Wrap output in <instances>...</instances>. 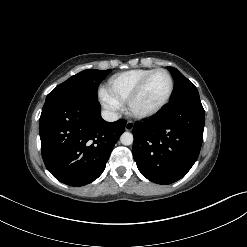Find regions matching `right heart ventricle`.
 I'll return each instance as SVG.
<instances>
[{
  "label": "right heart ventricle",
  "instance_id": "right-heart-ventricle-1",
  "mask_svg": "<svg viewBox=\"0 0 247 247\" xmlns=\"http://www.w3.org/2000/svg\"><path fill=\"white\" fill-rule=\"evenodd\" d=\"M151 71L152 69H134L116 74L108 80L107 91L120 103H126L139 82Z\"/></svg>",
  "mask_w": 247,
  "mask_h": 247
}]
</instances>
